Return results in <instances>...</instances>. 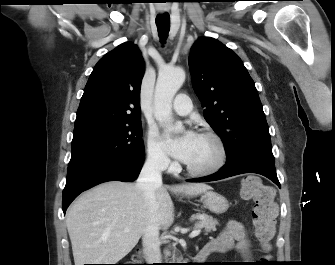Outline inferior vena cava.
I'll list each match as a JSON object with an SVG mask.
<instances>
[{"mask_svg": "<svg viewBox=\"0 0 335 265\" xmlns=\"http://www.w3.org/2000/svg\"><path fill=\"white\" fill-rule=\"evenodd\" d=\"M166 166L167 162L160 155L149 156L136 183V186L144 193L149 212V219L142 237L143 251L146 261L149 263H161L160 228L154 210L156 207V189L162 186L161 172Z\"/></svg>", "mask_w": 335, "mask_h": 265, "instance_id": "inferior-vena-cava-1", "label": "inferior vena cava"}]
</instances>
